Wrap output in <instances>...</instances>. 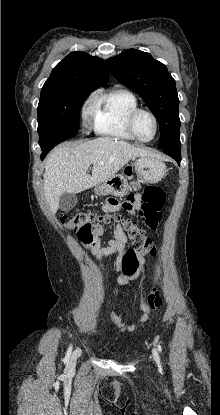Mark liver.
<instances>
[{
	"label": "liver",
	"instance_id": "liver-1",
	"mask_svg": "<svg viewBox=\"0 0 220 415\" xmlns=\"http://www.w3.org/2000/svg\"><path fill=\"white\" fill-rule=\"evenodd\" d=\"M153 154L125 141L99 137L75 147L62 146L48 156L44 173V194L53 213L64 193H80L113 177L136 157ZM93 164L92 175L88 173Z\"/></svg>",
	"mask_w": 220,
	"mask_h": 415
}]
</instances>
